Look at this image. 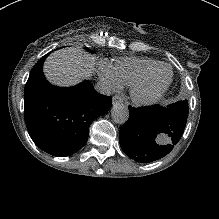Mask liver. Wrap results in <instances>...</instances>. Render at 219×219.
Returning a JSON list of instances; mask_svg holds the SVG:
<instances>
[{"instance_id": "liver-1", "label": "liver", "mask_w": 219, "mask_h": 219, "mask_svg": "<svg viewBox=\"0 0 219 219\" xmlns=\"http://www.w3.org/2000/svg\"><path fill=\"white\" fill-rule=\"evenodd\" d=\"M94 59L76 48L61 49L51 54L43 67L46 78L54 85L68 87L89 79Z\"/></svg>"}]
</instances>
